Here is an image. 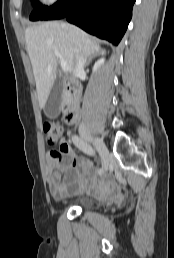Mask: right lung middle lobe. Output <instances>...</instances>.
<instances>
[{"instance_id":"right-lung-middle-lobe-1","label":"right lung middle lobe","mask_w":174,"mask_h":258,"mask_svg":"<svg viewBox=\"0 0 174 258\" xmlns=\"http://www.w3.org/2000/svg\"><path fill=\"white\" fill-rule=\"evenodd\" d=\"M32 5L34 7V11L31 13L29 17V19L32 21L41 20L49 10V7L42 6V4L38 2V0H32Z\"/></svg>"}]
</instances>
